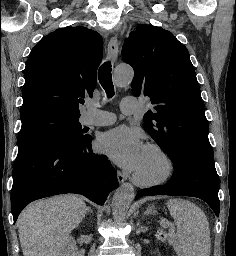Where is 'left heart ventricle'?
I'll use <instances>...</instances> for the list:
<instances>
[{
    "label": "left heart ventricle",
    "instance_id": "b2bd125f",
    "mask_svg": "<svg viewBox=\"0 0 236 256\" xmlns=\"http://www.w3.org/2000/svg\"><path fill=\"white\" fill-rule=\"evenodd\" d=\"M164 169L161 157L154 151L145 148L135 172L140 176L151 179L159 176Z\"/></svg>",
    "mask_w": 236,
    "mask_h": 256
}]
</instances>
